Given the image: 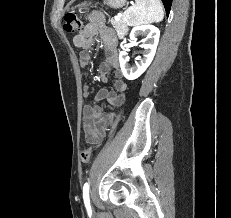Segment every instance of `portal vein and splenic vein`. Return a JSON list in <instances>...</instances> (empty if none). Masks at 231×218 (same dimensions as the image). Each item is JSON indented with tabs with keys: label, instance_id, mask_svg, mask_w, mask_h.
I'll return each instance as SVG.
<instances>
[{
	"label": "portal vein and splenic vein",
	"instance_id": "obj_1",
	"mask_svg": "<svg viewBox=\"0 0 231 218\" xmlns=\"http://www.w3.org/2000/svg\"><path fill=\"white\" fill-rule=\"evenodd\" d=\"M120 17H121V15H116L114 18H115V20H119Z\"/></svg>",
	"mask_w": 231,
	"mask_h": 218
}]
</instances>
